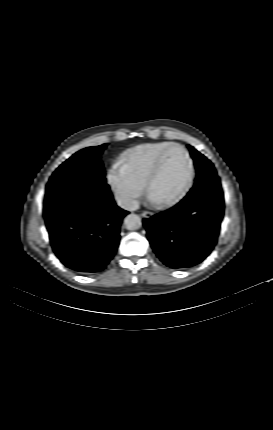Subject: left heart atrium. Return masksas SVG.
<instances>
[{"mask_svg": "<svg viewBox=\"0 0 273 430\" xmlns=\"http://www.w3.org/2000/svg\"><path fill=\"white\" fill-rule=\"evenodd\" d=\"M154 202H156L153 198H151Z\"/></svg>", "mask_w": 273, "mask_h": 430, "instance_id": "39dd6f15", "label": "left heart atrium"}]
</instances>
